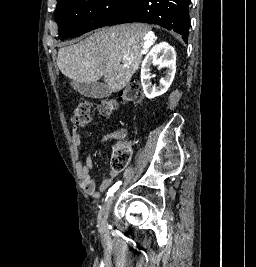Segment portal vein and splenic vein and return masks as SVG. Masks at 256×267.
Instances as JSON below:
<instances>
[{"mask_svg":"<svg viewBox=\"0 0 256 267\" xmlns=\"http://www.w3.org/2000/svg\"><path fill=\"white\" fill-rule=\"evenodd\" d=\"M124 66H128V64H124ZM128 68H129V66H128Z\"/></svg>","mask_w":256,"mask_h":267,"instance_id":"18ae733b","label":"portal vein and splenic vein"}]
</instances>
